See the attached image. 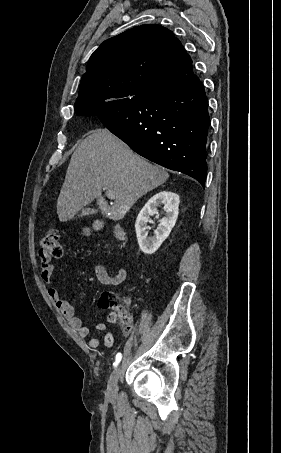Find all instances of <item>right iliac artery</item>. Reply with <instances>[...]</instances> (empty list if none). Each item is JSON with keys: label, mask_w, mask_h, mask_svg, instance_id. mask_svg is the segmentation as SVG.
Here are the masks:
<instances>
[{"label": "right iliac artery", "mask_w": 281, "mask_h": 453, "mask_svg": "<svg viewBox=\"0 0 281 453\" xmlns=\"http://www.w3.org/2000/svg\"><path fill=\"white\" fill-rule=\"evenodd\" d=\"M121 359H122V354L118 353L116 355V361L113 363V365L116 367L118 365V363L121 361Z\"/></svg>", "instance_id": "obj_1"}]
</instances>
